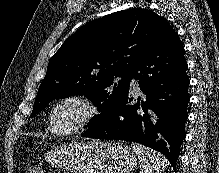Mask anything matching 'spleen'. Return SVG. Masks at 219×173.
I'll list each match as a JSON object with an SVG mask.
<instances>
[{"label":"spleen","instance_id":"1","mask_svg":"<svg viewBox=\"0 0 219 173\" xmlns=\"http://www.w3.org/2000/svg\"><path fill=\"white\" fill-rule=\"evenodd\" d=\"M132 149L142 164L139 173H162L166 170L168 160L159 152L137 143H132Z\"/></svg>","mask_w":219,"mask_h":173}]
</instances>
